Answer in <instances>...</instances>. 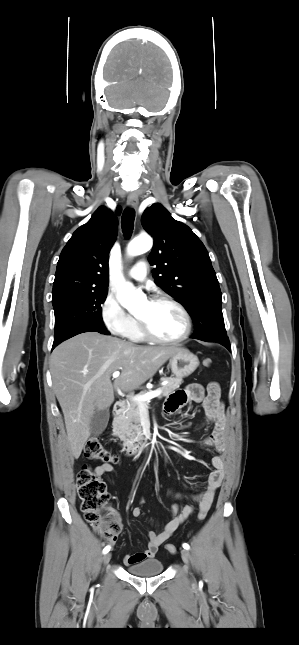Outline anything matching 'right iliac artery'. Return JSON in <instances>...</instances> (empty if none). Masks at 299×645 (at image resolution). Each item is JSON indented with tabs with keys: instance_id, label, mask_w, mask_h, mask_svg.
Here are the masks:
<instances>
[{
	"instance_id": "obj_1",
	"label": "right iliac artery",
	"mask_w": 299,
	"mask_h": 645,
	"mask_svg": "<svg viewBox=\"0 0 299 645\" xmlns=\"http://www.w3.org/2000/svg\"><path fill=\"white\" fill-rule=\"evenodd\" d=\"M109 551H110V546H106V547L103 549V553H104V554L108 553Z\"/></svg>"
}]
</instances>
